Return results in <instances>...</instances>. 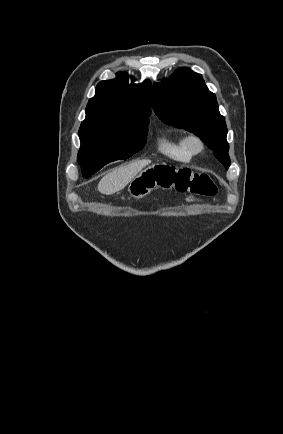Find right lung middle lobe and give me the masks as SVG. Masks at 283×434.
I'll return each instance as SVG.
<instances>
[{
  "instance_id": "obj_1",
  "label": "right lung middle lobe",
  "mask_w": 283,
  "mask_h": 434,
  "mask_svg": "<svg viewBox=\"0 0 283 434\" xmlns=\"http://www.w3.org/2000/svg\"><path fill=\"white\" fill-rule=\"evenodd\" d=\"M148 124L149 121L127 126L80 127L78 161L83 176L88 178L104 165L140 151L146 143Z\"/></svg>"
}]
</instances>
